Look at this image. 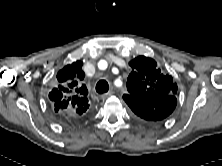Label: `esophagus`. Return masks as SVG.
<instances>
[{
	"label": "esophagus",
	"mask_w": 222,
	"mask_h": 166,
	"mask_svg": "<svg viewBox=\"0 0 222 166\" xmlns=\"http://www.w3.org/2000/svg\"><path fill=\"white\" fill-rule=\"evenodd\" d=\"M113 94H114L113 90H110L109 92L103 94V95L101 96V98H102V99H106V98L112 96Z\"/></svg>",
	"instance_id": "obj_1"
}]
</instances>
